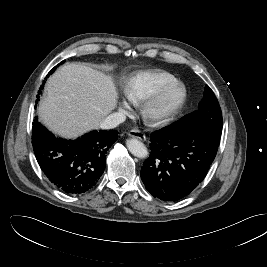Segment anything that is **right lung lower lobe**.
Instances as JSON below:
<instances>
[{
  "instance_id": "98d812e1",
  "label": "right lung lower lobe",
  "mask_w": 267,
  "mask_h": 267,
  "mask_svg": "<svg viewBox=\"0 0 267 267\" xmlns=\"http://www.w3.org/2000/svg\"><path fill=\"white\" fill-rule=\"evenodd\" d=\"M36 108V106H35ZM118 132L93 131L76 140L56 138L37 117L32 145L37 162L50 182L68 194H81L96 185L106 166V154Z\"/></svg>"
}]
</instances>
